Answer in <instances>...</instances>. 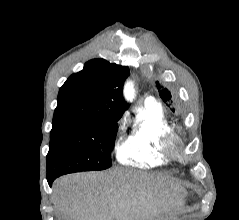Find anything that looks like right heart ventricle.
<instances>
[{"label":"right heart ventricle","mask_w":239,"mask_h":220,"mask_svg":"<svg viewBox=\"0 0 239 220\" xmlns=\"http://www.w3.org/2000/svg\"><path fill=\"white\" fill-rule=\"evenodd\" d=\"M171 131L160 105L145 103L129 125L128 132L117 148L122 165L150 168L167 163L162 140Z\"/></svg>","instance_id":"e07e8e85"}]
</instances>
